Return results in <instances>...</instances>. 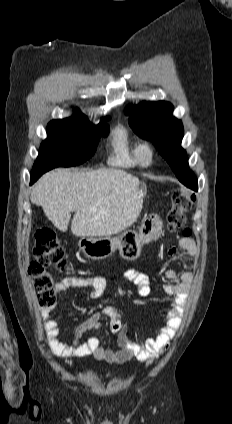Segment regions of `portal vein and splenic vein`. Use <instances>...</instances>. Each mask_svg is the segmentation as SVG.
Segmentation results:
<instances>
[{
    "mask_svg": "<svg viewBox=\"0 0 232 424\" xmlns=\"http://www.w3.org/2000/svg\"><path fill=\"white\" fill-rule=\"evenodd\" d=\"M90 210L93 211V212H96L97 211V208L92 207V208H90Z\"/></svg>",
    "mask_w": 232,
    "mask_h": 424,
    "instance_id": "18ae733b",
    "label": "portal vein and splenic vein"
}]
</instances>
